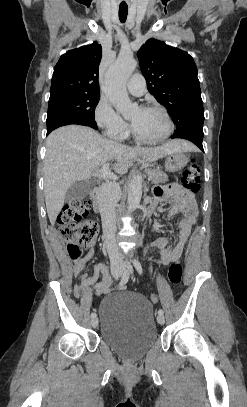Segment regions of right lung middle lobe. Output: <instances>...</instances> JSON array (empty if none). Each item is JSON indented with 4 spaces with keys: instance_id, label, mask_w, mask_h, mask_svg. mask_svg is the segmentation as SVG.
I'll return each instance as SVG.
<instances>
[{
    "instance_id": "dd1d6c3e",
    "label": "right lung middle lobe",
    "mask_w": 247,
    "mask_h": 407,
    "mask_svg": "<svg viewBox=\"0 0 247 407\" xmlns=\"http://www.w3.org/2000/svg\"><path fill=\"white\" fill-rule=\"evenodd\" d=\"M100 94L81 92H59L50 95L47 113V128L65 121L83 122L97 126L95 107Z\"/></svg>"
}]
</instances>
